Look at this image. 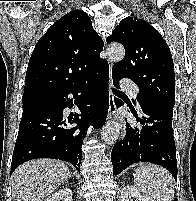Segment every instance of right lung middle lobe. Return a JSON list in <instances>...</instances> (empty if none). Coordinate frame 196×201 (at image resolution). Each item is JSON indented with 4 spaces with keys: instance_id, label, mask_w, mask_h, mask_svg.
Instances as JSON below:
<instances>
[{
    "instance_id": "right-lung-middle-lobe-1",
    "label": "right lung middle lobe",
    "mask_w": 196,
    "mask_h": 201,
    "mask_svg": "<svg viewBox=\"0 0 196 201\" xmlns=\"http://www.w3.org/2000/svg\"><path fill=\"white\" fill-rule=\"evenodd\" d=\"M43 96H30V97H23V100H22V103L25 104V103H28V102H32V101H35L39 98H41Z\"/></svg>"
}]
</instances>
